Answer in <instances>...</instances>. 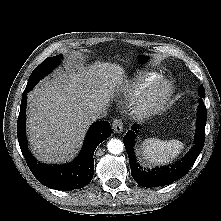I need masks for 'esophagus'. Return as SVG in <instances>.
<instances>
[{
  "mask_svg": "<svg viewBox=\"0 0 221 221\" xmlns=\"http://www.w3.org/2000/svg\"><path fill=\"white\" fill-rule=\"evenodd\" d=\"M112 128L114 132L121 133L123 131V123L120 119H114L112 123Z\"/></svg>",
  "mask_w": 221,
  "mask_h": 221,
  "instance_id": "34e87169",
  "label": "esophagus"
}]
</instances>
